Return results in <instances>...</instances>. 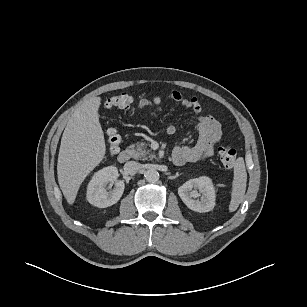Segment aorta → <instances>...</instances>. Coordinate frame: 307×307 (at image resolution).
Returning a JSON list of instances; mask_svg holds the SVG:
<instances>
[{"label":"aorta","instance_id":"762f6f07","mask_svg":"<svg viewBox=\"0 0 307 307\" xmlns=\"http://www.w3.org/2000/svg\"><path fill=\"white\" fill-rule=\"evenodd\" d=\"M144 177L149 183H156L159 180V173L155 169L145 171Z\"/></svg>","mask_w":307,"mask_h":307}]
</instances>
